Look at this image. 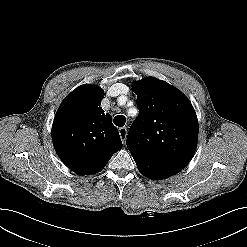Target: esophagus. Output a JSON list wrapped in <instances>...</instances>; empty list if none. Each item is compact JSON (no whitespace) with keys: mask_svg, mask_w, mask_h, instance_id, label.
<instances>
[{"mask_svg":"<svg viewBox=\"0 0 247 247\" xmlns=\"http://www.w3.org/2000/svg\"><path fill=\"white\" fill-rule=\"evenodd\" d=\"M119 135H120V138L123 144H125L126 137H127V128L126 127L119 128Z\"/></svg>","mask_w":247,"mask_h":247,"instance_id":"obj_1","label":"esophagus"}]
</instances>
